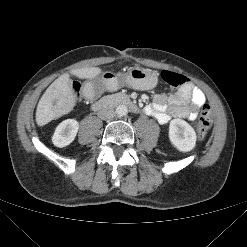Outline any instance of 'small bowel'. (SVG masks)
Masks as SVG:
<instances>
[{"label":"small bowel","mask_w":247,"mask_h":247,"mask_svg":"<svg viewBox=\"0 0 247 247\" xmlns=\"http://www.w3.org/2000/svg\"><path fill=\"white\" fill-rule=\"evenodd\" d=\"M85 92L87 97H91L90 88ZM205 101V95L199 88L187 84L169 96L155 95L153 103L145 108V113L162 125H167L172 118L195 120Z\"/></svg>","instance_id":"1"}]
</instances>
